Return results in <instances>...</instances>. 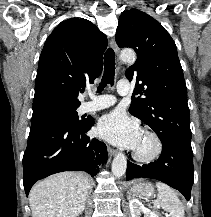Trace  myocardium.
<instances>
[{
	"mask_svg": "<svg viewBox=\"0 0 211 217\" xmlns=\"http://www.w3.org/2000/svg\"><path fill=\"white\" fill-rule=\"evenodd\" d=\"M143 136L149 138L153 143V148L149 153L143 154L135 150L133 157L135 160L141 163H151L157 160L163 151V143L160 136L154 131H145Z\"/></svg>",
	"mask_w": 211,
	"mask_h": 217,
	"instance_id": "f54148a6",
	"label": "myocardium"
}]
</instances>
